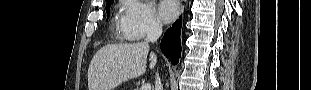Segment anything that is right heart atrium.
Wrapping results in <instances>:
<instances>
[{
    "mask_svg": "<svg viewBox=\"0 0 311 90\" xmlns=\"http://www.w3.org/2000/svg\"><path fill=\"white\" fill-rule=\"evenodd\" d=\"M118 29L127 40H142L161 31L162 26L152 6L141 0H122Z\"/></svg>",
    "mask_w": 311,
    "mask_h": 90,
    "instance_id": "obj_1",
    "label": "right heart atrium"
}]
</instances>
